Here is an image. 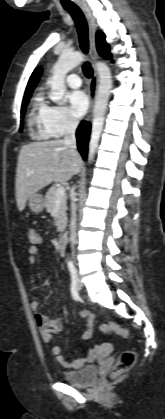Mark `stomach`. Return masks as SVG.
I'll return each instance as SVG.
<instances>
[{
    "label": "stomach",
    "mask_w": 165,
    "mask_h": 419,
    "mask_svg": "<svg viewBox=\"0 0 165 419\" xmlns=\"http://www.w3.org/2000/svg\"><path fill=\"white\" fill-rule=\"evenodd\" d=\"M28 206L34 213H40L45 207V200L39 193H35L28 198Z\"/></svg>",
    "instance_id": "stomach-1"
}]
</instances>
